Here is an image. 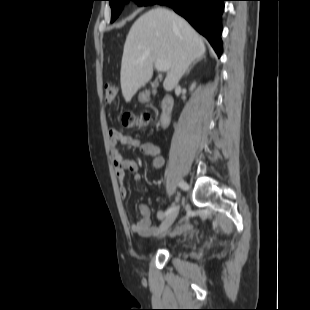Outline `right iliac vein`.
I'll return each mask as SVG.
<instances>
[{
    "instance_id": "right-iliac-vein-1",
    "label": "right iliac vein",
    "mask_w": 310,
    "mask_h": 310,
    "mask_svg": "<svg viewBox=\"0 0 310 310\" xmlns=\"http://www.w3.org/2000/svg\"><path fill=\"white\" fill-rule=\"evenodd\" d=\"M179 213V208L173 210L167 217L163 220L162 224L158 228L157 232L155 233L156 236L162 235L165 231H167L171 225L176 220Z\"/></svg>"
}]
</instances>
